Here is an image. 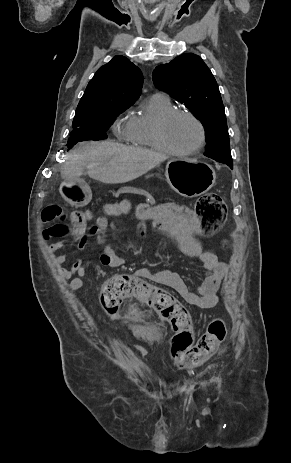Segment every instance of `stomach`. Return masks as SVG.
I'll list each match as a JSON object with an SVG mask.
<instances>
[{
    "label": "stomach",
    "instance_id": "obj_1",
    "mask_svg": "<svg viewBox=\"0 0 291 463\" xmlns=\"http://www.w3.org/2000/svg\"><path fill=\"white\" fill-rule=\"evenodd\" d=\"M170 186L184 197H197L215 184L216 173L211 165L187 158L171 159L165 169ZM62 197L73 206H83L91 199L89 187L82 181L65 180L60 185Z\"/></svg>",
    "mask_w": 291,
    "mask_h": 463
}]
</instances>
